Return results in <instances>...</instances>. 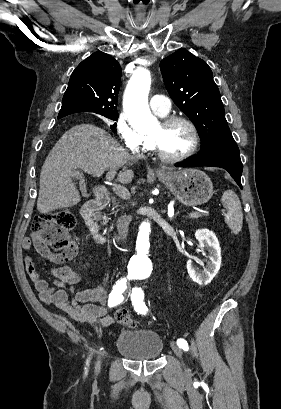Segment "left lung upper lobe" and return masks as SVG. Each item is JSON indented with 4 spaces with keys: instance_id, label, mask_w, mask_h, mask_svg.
Wrapping results in <instances>:
<instances>
[{
    "instance_id": "5c2ea615",
    "label": "left lung upper lobe",
    "mask_w": 281,
    "mask_h": 409,
    "mask_svg": "<svg viewBox=\"0 0 281 409\" xmlns=\"http://www.w3.org/2000/svg\"><path fill=\"white\" fill-rule=\"evenodd\" d=\"M160 69L169 95L196 126L202 142L199 153H239L206 62L180 49L163 59Z\"/></svg>"
}]
</instances>
